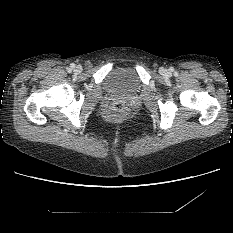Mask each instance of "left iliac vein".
<instances>
[{
  "label": "left iliac vein",
  "mask_w": 233,
  "mask_h": 233,
  "mask_svg": "<svg viewBox=\"0 0 233 233\" xmlns=\"http://www.w3.org/2000/svg\"><path fill=\"white\" fill-rule=\"evenodd\" d=\"M162 72H163V74H166V73H167V70L163 69V71H162Z\"/></svg>",
  "instance_id": "obj_1"
}]
</instances>
